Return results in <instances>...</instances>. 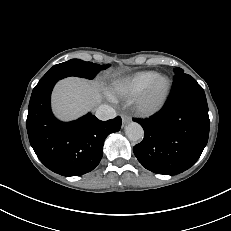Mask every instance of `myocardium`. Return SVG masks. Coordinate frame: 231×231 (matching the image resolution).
Listing matches in <instances>:
<instances>
[{"label": "myocardium", "instance_id": "obj_1", "mask_svg": "<svg viewBox=\"0 0 231 231\" xmlns=\"http://www.w3.org/2000/svg\"><path fill=\"white\" fill-rule=\"evenodd\" d=\"M171 81L166 75L158 74L135 101L137 112L149 116L160 111L171 92Z\"/></svg>", "mask_w": 231, "mask_h": 231}]
</instances>
